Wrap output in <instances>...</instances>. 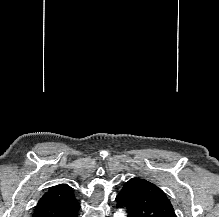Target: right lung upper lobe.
<instances>
[{
	"mask_svg": "<svg viewBox=\"0 0 219 217\" xmlns=\"http://www.w3.org/2000/svg\"><path fill=\"white\" fill-rule=\"evenodd\" d=\"M80 206L67 184L53 186L39 200L32 217H69Z\"/></svg>",
	"mask_w": 219,
	"mask_h": 217,
	"instance_id": "obj_1",
	"label": "right lung upper lobe"
}]
</instances>
